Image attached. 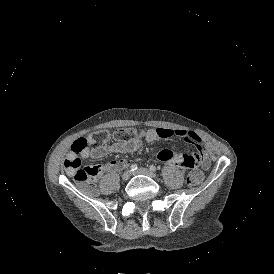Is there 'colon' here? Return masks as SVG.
Segmentation results:
<instances>
[{
  "instance_id": "colon-1",
  "label": "colon",
  "mask_w": 274,
  "mask_h": 274,
  "mask_svg": "<svg viewBox=\"0 0 274 274\" xmlns=\"http://www.w3.org/2000/svg\"><path fill=\"white\" fill-rule=\"evenodd\" d=\"M115 139L119 142H133L142 135V132L135 129H118L114 133ZM95 137L98 142H102L109 137V132H97ZM87 146L86 138H77L76 146H71V153L64 159V169L73 176L74 180L84 183L89 179L103 172L104 167L100 164L83 165L80 159V153ZM206 178V173L202 169H194L189 172L187 177L191 188H196L202 184Z\"/></svg>"
}]
</instances>
